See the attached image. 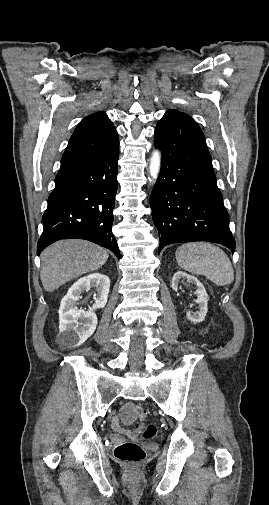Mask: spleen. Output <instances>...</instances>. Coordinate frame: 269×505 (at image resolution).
Here are the masks:
<instances>
[{
  "mask_svg": "<svg viewBox=\"0 0 269 505\" xmlns=\"http://www.w3.org/2000/svg\"><path fill=\"white\" fill-rule=\"evenodd\" d=\"M176 260L181 268L204 275L218 286L233 282L234 270L227 254L208 242H190L177 248Z\"/></svg>",
  "mask_w": 269,
  "mask_h": 505,
  "instance_id": "3e777b00",
  "label": "spleen"
}]
</instances>
